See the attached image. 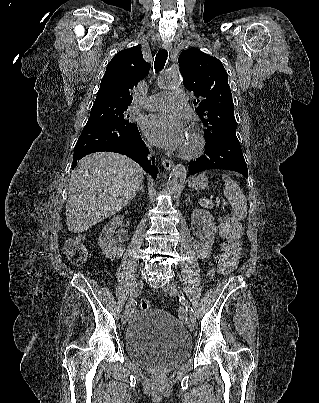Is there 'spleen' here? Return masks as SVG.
<instances>
[{
  "label": "spleen",
  "instance_id": "spleen-1",
  "mask_svg": "<svg viewBox=\"0 0 319 403\" xmlns=\"http://www.w3.org/2000/svg\"><path fill=\"white\" fill-rule=\"evenodd\" d=\"M205 175V173L201 174ZM222 179L225 182L224 196L229 200L233 209V218L242 220L247 216V199L240 186L228 175L223 174ZM199 204L203 208H213L212 200L203 198L199 200Z\"/></svg>",
  "mask_w": 319,
  "mask_h": 403
}]
</instances>
